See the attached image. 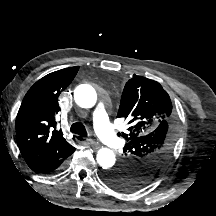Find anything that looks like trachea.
<instances>
[{"instance_id": "trachea-1", "label": "trachea", "mask_w": 216, "mask_h": 216, "mask_svg": "<svg viewBox=\"0 0 216 216\" xmlns=\"http://www.w3.org/2000/svg\"><path fill=\"white\" fill-rule=\"evenodd\" d=\"M70 131L74 134H78L83 137H87V131L83 124L80 122L73 123L71 125Z\"/></svg>"}]
</instances>
